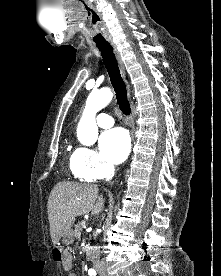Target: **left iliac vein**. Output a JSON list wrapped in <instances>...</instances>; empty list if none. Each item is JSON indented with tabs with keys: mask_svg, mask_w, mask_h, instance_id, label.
Segmentation results:
<instances>
[{
	"mask_svg": "<svg viewBox=\"0 0 221 276\" xmlns=\"http://www.w3.org/2000/svg\"><path fill=\"white\" fill-rule=\"evenodd\" d=\"M100 276H109V275L105 272H100Z\"/></svg>",
	"mask_w": 221,
	"mask_h": 276,
	"instance_id": "1",
	"label": "left iliac vein"
}]
</instances>
